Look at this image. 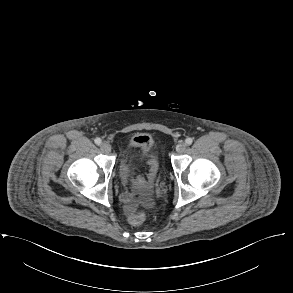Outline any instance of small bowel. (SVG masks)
<instances>
[{
  "instance_id": "c3829d8e",
  "label": "small bowel",
  "mask_w": 293,
  "mask_h": 293,
  "mask_svg": "<svg viewBox=\"0 0 293 293\" xmlns=\"http://www.w3.org/2000/svg\"><path fill=\"white\" fill-rule=\"evenodd\" d=\"M149 142V138L141 134L136 135L131 141L132 144L137 146H146ZM134 185L137 188H143L144 182L142 180H138L134 183ZM121 201L123 203L125 213L129 216L133 215L137 206V200L134 195L130 192H123L121 194Z\"/></svg>"
}]
</instances>
